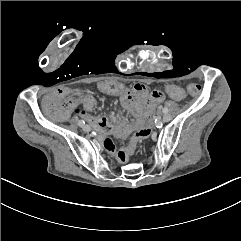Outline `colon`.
<instances>
[{
	"label": "colon",
	"mask_w": 241,
	"mask_h": 241,
	"mask_svg": "<svg viewBox=\"0 0 241 241\" xmlns=\"http://www.w3.org/2000/svg\"><path fill=\"white\" fill-rule=\"evenodd\" d=\"M100 85L102 93H110L113 96L115 93L121 92V81L119 79H102ZM159 92L174 97L177 95L178 90L172 83H165L159 87ZM188 92L192 95H198L200 87L198 85H189Z\"/></svg>",
	"instance_id": "colon-1"
}]
</instances>
